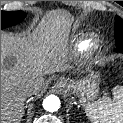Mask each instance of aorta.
<instances>
[{
	"label": "aorta",
	"mask_w": 123,
	"mask_h": 123,
	"mask_svg": "<svg viewBox=\"0 0 123 123\" xmlns=\"http://www.w3.org/2000/svg\"><path fill=\"white\" fill-rule=\"evenodd\" d=\"M60 104V99L55 95H49L43 100V108L48 112L58 111Z\"/></svg>",
	"instance_id": "762f6f07"
}]
</instances>
